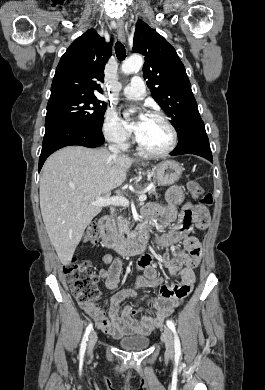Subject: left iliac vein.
Here are the masks:
<instances>
[{"instance_id":"4c4485c4","label":"left iliac vein","mask_w":265,"mask_h":390,"mask_svg":"<svg viewBox=\"0 0 265 390\" xmlns=\"http://www.w3.org/2000/svg\"><path fill=\"white\" fill-rule=\"evenodd\" d=\"M162 337L166 346L167 355L172 356L174 354V341L172 332L168 327H164Z\"/></svg>"}]
</instances>
